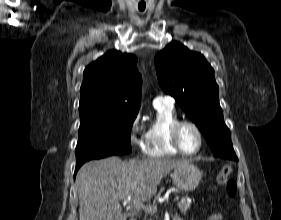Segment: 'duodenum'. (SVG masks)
<instances>
[{"label": "duodenum", "mask_w": 281, "mask_h": 220, "mask_svg": "<svg viewBox=\"0 0 281 220\" xmlns=\"http://www.w3.org/2000/svg\"><path fill=\"white\" fill-rule=\"evenodd\" d=\"M131 220H135V219H131ZM175 220H182V219H180V218H176Z\"/></svg>", "instance_id": "obj_1"}]
</instances>
